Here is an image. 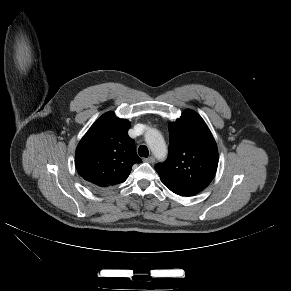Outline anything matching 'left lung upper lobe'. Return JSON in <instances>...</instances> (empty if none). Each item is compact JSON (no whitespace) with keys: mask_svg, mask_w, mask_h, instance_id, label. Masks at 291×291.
Here are the masks:
<instances>
[{"mask_svg":"<svg viewBox=\"0 0 291 291\" xmlns=\"http://www.w3.org/2000/svg\"><path fill=\"white\" fill-rule=\"evenodd\" d=\"M169 134L168 158L155 166L156 171L161 178L200 192L213 180L218 166V149L209 128L188 109L169 124Z\"/></svg>","mask_w":291,"mask_h":291,"instance_id":"obj_1","label":"left lung upper lobe"}]
</instances>
